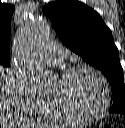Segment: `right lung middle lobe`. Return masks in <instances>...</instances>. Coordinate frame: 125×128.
<instances>
[{
    "label": "right lung middle lobe",
    "instance_id": "dd1d6c3e",
    "mask_svg": "<svg viewBox=\"0 0 125 128\" xmlns=\"http://www.w3.org/2000/svg\"><path fill=\"white\" fill-rule=\"evenodd\" d=\"M0 66L9 67L10 66V59H0Z\"/></svg>",
    "mask_w": 125,
    "mask_h": 128
}]
</instances>
